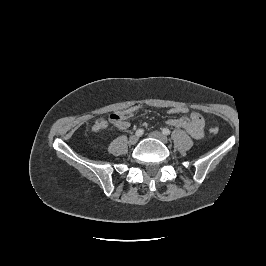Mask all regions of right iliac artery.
Segmentation results:
<instances>
[{"label":"right iliac artery","instance_id":"right-iliac-artery-1","mask_svg":"<svg viewBox=\"0 0 266 266\" xmlns=\"http://www.w3.org/2000/svg\"><path fill=\"white\" fill-rule=\"evenodd\" d=\"M143 133H144L143 129H138L135 134L138 135V136H142Z\"/></svg>","mask_w":266,"mask_h":266}]
</instances>
